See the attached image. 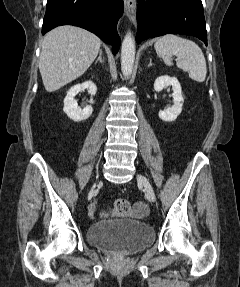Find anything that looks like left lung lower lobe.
Here are the masks:
<instances>
[{
  "label": "left lung lower lobe",
  "instance_id": "obj_1",
  "mask_svg": "<svg viewBox=\"0 0 240 287\" xmlns=\"http://www.w3.org/2000/svg\"><path fill=\"white\" fill-rule=\"evenodd\" d=\"M136 41L164 34H185L207 45V31L201 0H138Z\"/></svg>",
  "mask_w": 240,
  "mask_h": 287
}]
</instances>
